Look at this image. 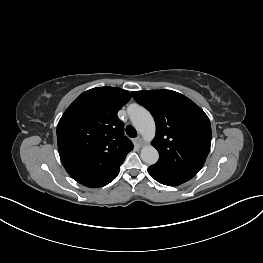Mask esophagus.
Listing matches in <instances>:
<instances>
[{
	"label": "esophagus",
	"instance_id": "34e87169",
	"mask_svg": "<svg viewBox=\"0 0 263 263\" xmlns=\"http://www.w3.org/2000/svg\"><path fill=\"white\" fill-rule=\"evenodd\" d=\"M135 140L139 146H142L144 144V141L141 136H138Z\"/></svg>",
	"mask_w": 263,
	"mask_h": 263
}]
</instances>
